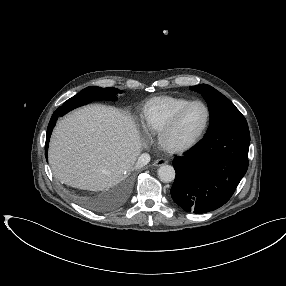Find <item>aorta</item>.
<instances>
[{
  "instance_id": "762f6f07",
  "label": "aorta",
  "mask_w": 286,
  "mask_h": 286,
  "mask_svg": "<svg viewBox=\"0 0 286 286\" xmlns=\"http://www.w3.org/2000/svg\"><path fill=\"white\" fill-rule=\"evenodd\" d=\"M158 177L163 182H171L175 179V170L171 165H162L158 169Z\"/></svg>"
}]
</instances>
